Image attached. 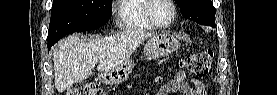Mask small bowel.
Listing matches in <instances>:
<instances>
[{
  "label": "small bowel",
  "mask_w": 277,
  "mask_h": 95,
  "mask_svg": "<svg viewBox=\"0 0 277 95\" xmlns=\"http://www.w3.org/2000/svg\"><path fill=\"white\" fill-rule=\"evenodd\" d=\"M167 94H185V95H208L209 89L201 81L197 79H187L183 71L176 73L175 77L163 85L157 95Z\"/></svg>",
  "instance_id": "small-bowel-1"
}]
</instances>
